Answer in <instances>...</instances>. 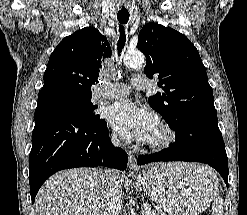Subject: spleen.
<instances>
[{
    "mask_svg": "<svg viewBox=\"0 0 247 215\" xmlns=\"http://www.w3.org/2000/svg\"><path fill=\"white\" fill-rule=\"evenodd\" d=\"M212 215H223V200L216 198L212 205Z\"/></svg>",
    "mask_w": 247,
    "mask_h": 215,
    "instance_id": "3e777b00",
    "label": "spleen"
}]
</instances>
